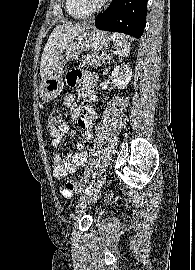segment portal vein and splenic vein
I'll use <instances>...</instances> for the list:
<instances>
[{"instance_id":"18ae733b","label":"portal vein and splenic vein","mask_w":195,"mask_h":270,"mask_svg":"<svg viewBox=\"0 0 195 270\" xmlns=\"http://www.w3.org/2000/svg\"><path fill=\"white\" fill-rule=\"evenodd\" d=\"M106 57L111 59L112 55L111 54H106Z\"/></svg>"}]
</instances>
